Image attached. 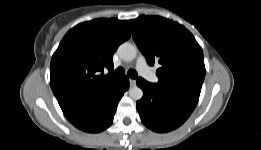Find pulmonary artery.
<instances>
[{
	"label": "pulmonary artery",
	"mask_w": 261,
	"mask_h": 150,
	"mask_svg": "<svg viewBox=\"0 0 261 150\" xmlns=\"http://www.w3.org/2000/svg\"><path fill=\"white\" fill-rule=\"evenodd\" d=\"M136 67L139 73L150 82H157L158 77L156 74L148 67L146 60L143 56H139L136 62Z\"/></svg>",
	"instance_id": "obj_1"
}]
</instances>
